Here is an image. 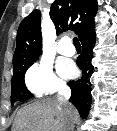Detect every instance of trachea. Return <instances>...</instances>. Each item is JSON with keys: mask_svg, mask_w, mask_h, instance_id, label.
<instances>
[{"mask_svg": "<svg viewBox=\"0 0 117 131\" xmlns=\"http://www.w3.org/2000/svg\"><path fill=\"white\" fill-rule=\"evenodd\" d=\"M73 44L77 47V46H80V42H79V40H78V38L77 37H74L73 38Z\"/></svg>", "mask_w": 117, "mask_h": 131, "instance_id": "obj_1", "label": "trachea"}]
</instances>
